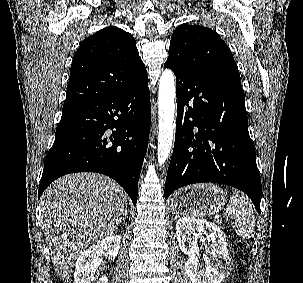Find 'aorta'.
<instances>
[{
  "mask_svg": "<svg viewBox=\"0 0 303 283\" xmlns=\"http://www.w3.org/2000/svg\"><path fill=\"white\" fill-rule=\"evenodd\" d=\"M175 81L170 69H165L159 80V133L157 160L159 166L169 158L174 138Z\"/></svg>",
  "mask_w": 303,
  "mask_h": 283,
  "instance_id": "obj_1",
  "label": "aorta"
}]
</instances>
